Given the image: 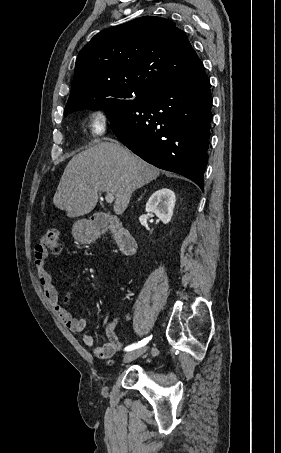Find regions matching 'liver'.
Returning a JSON list of instances; mask_svg holds the SVG:
<instances>
[{
	"instance_id": "obj_1",
	"label": "liver",
	"mask_w": 281,
	"mask_h": 453,
	"mask_svg": "<svg viewBox=\"0 0 281 453\" xmlns=\"http://www.w3.org/2000/svg\"><path fill=\"white\" fill-rule=\"evenodd\" d=\"M159 174V168L110 138L72 156L53 202L61 210H66L67 216H83L95 208L99 190H106L115 196L114 212L122 214L133 192L155 180Z\"/></svg>"
}]
</instances>
